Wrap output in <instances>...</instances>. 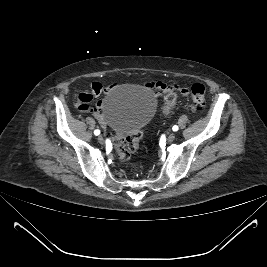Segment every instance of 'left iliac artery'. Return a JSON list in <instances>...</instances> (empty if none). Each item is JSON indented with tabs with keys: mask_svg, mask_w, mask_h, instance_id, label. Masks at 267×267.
Returning <instances> with one entry per match:
<instances>
[{
	"mask_svg": "<svg viewBox=\"0 0 267 267\" xmlns=\"http://www.w3.org/2000/svg\"><path fill=\"white\" fill-rule=\"evenodd\" d=\"M172 129H173V131H177L178 130V126L175 125V126H173Z\"/></svg>",
	"mask_w": 267,
	"mask_h": 267,
	"instance_id": "left-iliac-artery-1",
	"label": "left iliac artery"
}]
</instances>
